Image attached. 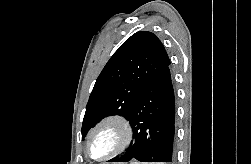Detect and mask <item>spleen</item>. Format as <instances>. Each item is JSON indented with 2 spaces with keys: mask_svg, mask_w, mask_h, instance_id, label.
Masks as SVG:
<instances>
[{
  "mask_svg": "<svg viewBox=\"0 0 251 164\" xmlns=\"http://www.w3.org/2000/svg\"><path fill=\"white\" fill-rule=\"evenodd\" d=\"M133 164H139L138 162H134ZM141 164V163H140Z\"/></svg>",
  "mask_w": 251,
  "mask_h": 164,
  "instance_id": "1",
  "label": "spleen"
}]
</instances>
